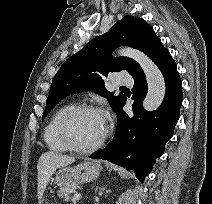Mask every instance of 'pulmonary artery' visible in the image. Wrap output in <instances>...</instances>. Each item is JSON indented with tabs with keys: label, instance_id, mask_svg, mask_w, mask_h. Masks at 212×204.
<instances>
[{
	"label": "pulmonary artery",
	"instance_id": "obj_1",
	"mask_svg": "<svg viewBox=\"0 0 212 204\" xmlns=\"http://www.w3.org/2000/svg\"><path fill=\"white\" fill-rule=\"evenodd\" d=\"M116 83L119 85H131L133 83V79L129 75L120 74L117 76Z\"/></svg>",
	"mask_w": 212,
	"mask_h": 204
}]
</instances>
